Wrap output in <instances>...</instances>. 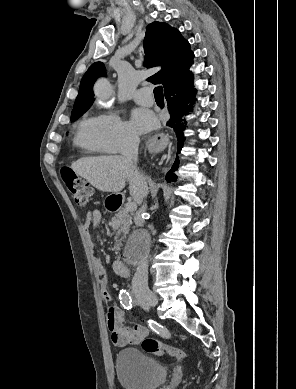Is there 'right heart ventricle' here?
<instances>
[{
    "mask_svg": "<svg viewBox=\"0 0 296 389\" xmlns=\"http://www.w3.org/2000/svg\"><path fill=\"white\" fill-rule=\"evenodd\" d=\"M74 142L91 153L105 151L99 138L97 117H85L79 122Z\"/></svg>",
    "mask_w": 296,
    "mask_h": 389,
    "instance_id": "1",
    "label": "right heart ventricle"
}]
</instances>
